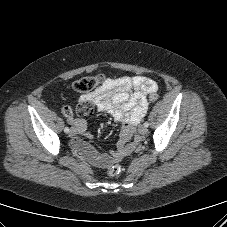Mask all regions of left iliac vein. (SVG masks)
<instances>
[{
	"label": "left iliac vein",
	"instance_id": "4c4485c4",
	"mask_svg": "<svg viewBox=\"0 0 227 227\" xmlns=\"http://www.w3.org/2000/svg\"><path fill=\"white\" fill-rule=\"evenodd\" d=\"M147 132H148V129H147V127H145L144 125H141V126L139 127V133H140V134L145 135Z\"/></svg>",
	"mask_w": 227,
	"mask_h": 227
}]
</instances>
